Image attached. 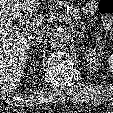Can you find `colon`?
I'll return each instance as SVG.
<instances>
[{
  "instance_id": "1",
  "label": "colon",
  "mask_w": 113,
  "mask_h": 113,
  "mask_svg": "<svg viewBox=\"0 0 113 113\" xmlns=\"http://www.w3.org/2000/svg\"><path fill=\"white\" fill-rule=\"evenodd\" d=\"M97 9L105 21L113 22V0H100Z\"/></svg>"
}]
</instances>
